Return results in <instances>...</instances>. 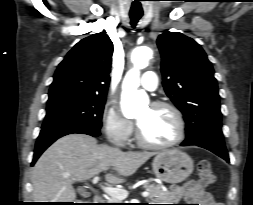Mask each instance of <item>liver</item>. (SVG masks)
<instances>
[{
    "label": "liver",
    "instance_id": "liver-1",
    "mask_svg": "<svg viewBox=\"0 0 253 205\" xmlns=\"http://www.w3.org/2000/svg\"><path fill=\"white\" fill-rule=\"evenodd\" d=\"M153 155L99 145L95 138L85 134L66 135L54 142L33 167V200L73 202L76 199L73 182L88 180L112 167L118 175L107 173L106 181L123 183V177L134 174Z\"/></svg>",
    "mask_w": 253,
    "mask_h": 205
}]
</instances>
